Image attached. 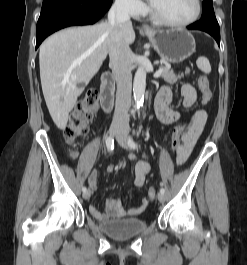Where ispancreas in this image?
<instances>
[{"label": "pancreas", "instance_id": "obj_1", "mask_svg": "<svg viewBox=\"0 0 247 265\" xmlns=\"http://www.w3.org/2000/svg\"><path fill=\"white\" fill-rule=\"evenodd\" d=\"M162 73L160 75L161 78H163L165 81L168 83H176L179 79H181L184 75H175L172 70L168 66H163L162 68ZM190 73V69H186L185 75Z\"/></svg>", "mask_w": 247, "mask_h": 265}]
</instances>
